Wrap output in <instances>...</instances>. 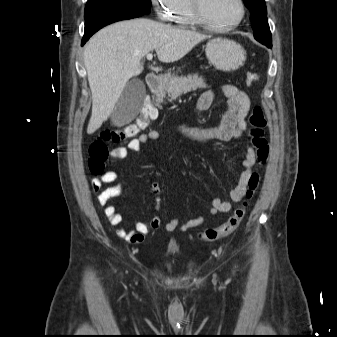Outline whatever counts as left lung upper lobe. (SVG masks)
Here are the masks:
<instances>
[{
  "instance_id": "1",
  "label": "left lung upper lobe",
  "mask_w": 337,
  "mask_h": 337,
  "mask_svg": "<svg viewBox=\"0 0 337 337\" xmlns=\"http://www.w3.org/2000/svg\"><path fill=\"white\" fill-rule=\"evenodd\" d=\"M251 13L254 37L262 44H271V32L267 23V10L264 0H243Z\"/></svg>"
}]
</instances>
